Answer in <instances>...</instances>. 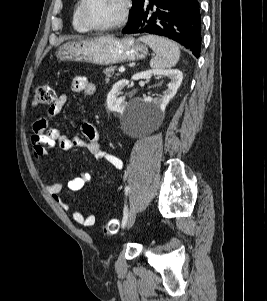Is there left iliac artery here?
Returning <instances> with one entry per match:
<instances>
[{
    "mask_svg": "<svg viewBox=\"0 0 267 301\" xmlns=\"http://www.w3.org/2000/svg\"><path fill=\"white\" fill-rule=\"evenodd\" d=\"M129 192H130V187H129V186H126V187H125V195L127 196ZM127 219H128V209H127V207L125 206V207H124V211H123L122 227L126 226V224H127Z\"/></svg>",
    "mask_w": 267,
    "mask_h": 301,
    "instance_id": "left-iliac-artery-1",
    "label": "left iliac artery"
}]
</instances>
